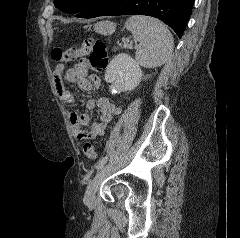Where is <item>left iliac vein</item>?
I'll use <instances>...</instances> for the list:
<instances>
[{"label":"left iliac vein","mask_w":240,"mask_h":238,"mask_svg":"<svg viewBox=\"0 0 240 238\" xmlns=\"http://www.w3.org/2000/svg\"><path fill=\"white\" fill-rule=\"evenodd\" d=\"M114 167L113 164L106 165L101 168V170L96 174L93 180L89 183L85 195L84 203L89 208H94L96 205V192L98 191L102 181L107 176V174Z\"/></svg>","instance_id":"left-iliac-vein-1"}]
</instances>
